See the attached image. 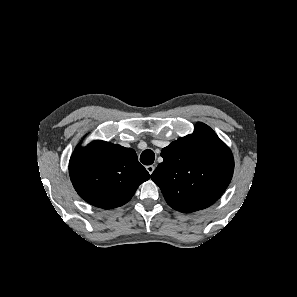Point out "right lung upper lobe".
<instances>
[{"mask_svg": "<svg viewBox=\"0 0 297 297\" xmlns=\"http://www.w3.org/2000/svg\"><path fill=\"white\" fill-rule=\"evenodd\" d=\"M69 174L79 196L103 209L124 205L150 178L133 149L99 140L76 147Z\"/></svg>", "mask_w": 297, "mask_h": 297, "instance_id": "cb5924a9", "label": "right lung upper lobe"}]
</instances>
